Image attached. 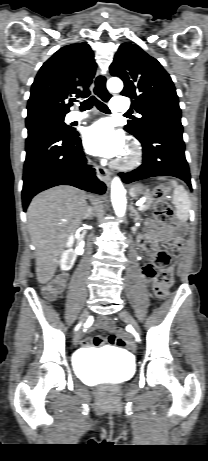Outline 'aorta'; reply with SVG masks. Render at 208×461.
Here are the masks:
<instances>
[{
	"label": "aorta",
	"mask_w": 208,
	"mask_h": 461,
	"mask_svg": "<svg viewBox=\"0 0 208 461\" xmlns=\"http://www.w3.org/2000/svg\"><path fill=\"white\" fill-rule=\"evenodd\" d=\"M110 92L119 93L123 89V83L119 78H110L107 82ZM111 201L118 217H123L126 211V191L119 177H114L111 182Z\"/></svg>",
	"instance_id": "762f6f07"
}]
</instances>
